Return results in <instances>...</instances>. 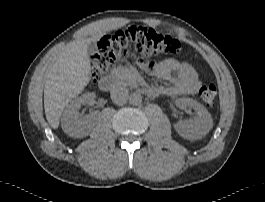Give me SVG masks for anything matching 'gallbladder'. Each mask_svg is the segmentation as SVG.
<instances>
[{"instance_id":"bac80fb5","label":"gallbladder","mask_w":265,"mask_h":202,"mask_svg":"<svg viewBox=\"0 0 265 202\" xmlns=\"http://www.w3.org/2000/svg\"><path fill=\"white\" fill-rule=\"evenodd\" d=\"M87 52L89 55H94L97 52V44L95 42H91L88 44Z\"/></svg>"}]
</instances>
